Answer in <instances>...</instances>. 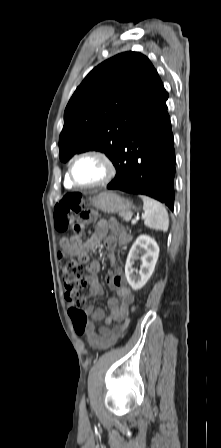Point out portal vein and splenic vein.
<instances>
[{
    "label": "portal vein and splenic vein",
    "instance_id": "18ae733b",
    "mask_svg": "<svg viewBox=\"0 0 221 448\" xmlns=\"http://www.w3.org/2000/svg\"><path fill=\"white\" fill-rule=\"evenodd\" d=\"M137 220H138L137 218L132 219L131 224H132V225H135V224L137 223Z\"/></svg>",
    "mask_w": 221,
    "mask_h": 448
}]
</instances>
